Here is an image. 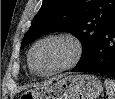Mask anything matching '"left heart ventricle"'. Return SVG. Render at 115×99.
Here are the masks:
<instances>
[{"instance_id": "left-heart-ventricle-1", "label": "left heart ventricle", "mask_w": 115, "mask_h": 99, "mask_svg": "<svg viewBox=\"0 0 115 99\" xmlns=\"http://www.w3.org/2000/svg\"><path fill=\"white\" fill-rule=\"evenodd\" d=\"M73 48L66 40H50L39 45L33 54V63L40 72H49L72 57Z\"/></svg>"}]
</instances>
